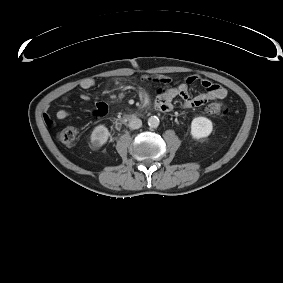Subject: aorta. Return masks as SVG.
<instances>
[{"label":"aorta","instance_id":"762f6f07","mask_svg":"<svg viewBox=\"0 0 283 283\" xmlns=\"http://www.w3.org/2000/svg\"><path fill=\"white\" fill-rule=\"evenodd\" d=\"M160 124V120L157 116H151L149 119H148V125L151 127V128H157Z\"/></svg>","mask_w":283,"mask_h":283}]
</instances>
